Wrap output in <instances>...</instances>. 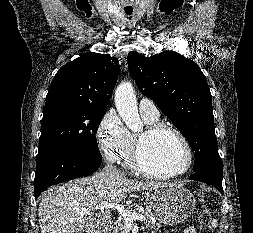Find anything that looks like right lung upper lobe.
<instances>
[{
  "mask_svg": "<svg viewBox=\"0 0 253 233\" xmlns=\"http://www.w3.org/2000/svg\"><path fill=\"white\" fill-rule=\"evenodd\" d=\"M120 73L115 57L87 53L62 66L46 96V104H86L107 108Z\"/></svg>",
  "mask_w": 253,
  "mask_h": 233,
  "instance_id": "right-lung-upper-lobe-1",
  "label": "right lung upper lobe"
}]
</instances>
